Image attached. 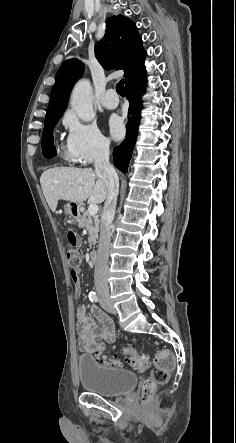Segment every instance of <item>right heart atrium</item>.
Returning <instances> with one entry per match:
<instances>
[{
    "label": "right heart atrium",
    "instance_id": "right-heart-atrium-1",
    "mask_svg": "<svg viewBox=\"0 0 236 443\" xmlns=\"http://www.w3.org/2000/svg\"><path fill=\"white\" fill-rule=\"evenodd\" d=\"M63 123L68 131L65 157L74 163L89 165L108 150V141L95 125L82 122L72 112L64 115Z\"/></svg>",
    "mask_w": 236,
    "mask_h": 443
}]
</instances>
